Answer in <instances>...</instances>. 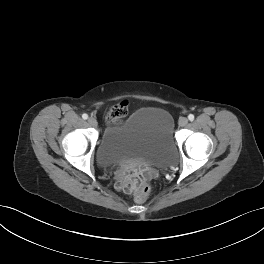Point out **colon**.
<instances>
[{
	"label": "colon",
	"mask_w": 264,
	"mask_h": 264,
	"mask_svg": "<svg viewBox=\"0 0 264 264\" xmlns=\"http://www.w3.org/2000/svg\"><path fill=\"white\" fill-rule=\"evenodd\" d=\"M127 112V103L120 102L110 108L106 120L111 123L118 122L127 115ZM119 188L125 193H132L138 202H143L151 190L148 182L135 170L128 172L119 180Z\"/></svg>",
	"instance_id": "5ec220e1"
}]
</instances>
